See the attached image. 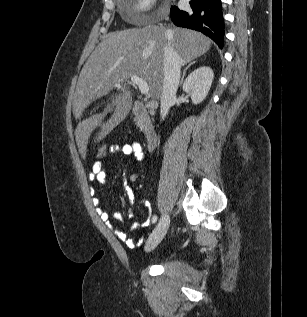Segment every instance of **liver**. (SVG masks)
<instances>
[{"label": "liver", "instance_id": "obj_1", "mask_svg": "<svg viewBox=\"0 0 307 317\" xmlns=\"http://www.w3.org/2000/svg\"><path fill=\"white\" fill-rule=\"evenodd\" d=\"M171 34L167 36V31ZM170 44L183 63L204 55L211 47L205 35L184 28L149 25L109 33L92 52L78 78L73 99V114L81 119L84 110L97 99L108 95L115 85L121 93L113 96L103 113L80 120L75 137L80 151H84L92 132L101 127L97 140L104 138L129 113L132 93L126 87L131 76L144 79L153 98H160L164 79V48ZM113 112L103 123L107 113Z\"/></svg>", "mask_w": 307, "mask_h": 317}]
</instances>
